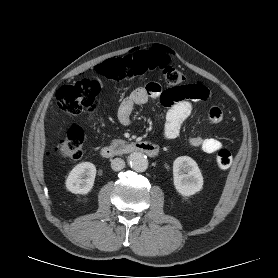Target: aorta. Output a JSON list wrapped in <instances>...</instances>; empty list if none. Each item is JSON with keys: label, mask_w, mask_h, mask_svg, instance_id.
<instances>
[{"label": "aorta", "mask_w": 278, "mask_h": 278, "mask_svg": "<svg viewBox=\"0 0 278 278\" xmlns=\"http://www.w3.org/2000/svg\"><path fill=\"white\" fill-rule=\"evenodd\" d=\"M130 167L136 172H144L148 168L146 155L141 152H134L128 157Z\"/></svg>", "instance_id": "762f6f07"}]
</instances>
